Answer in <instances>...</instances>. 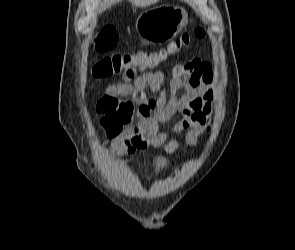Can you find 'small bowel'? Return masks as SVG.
I'll return each instance as SVG.
<instances>
[{"label": "small bowel", "instance_id": "c3829d8e", "mask_svg": "<svg viewBox=\"0 0 295 250\" xmlns=\"http://www.w3.org/2000/svg\"><path fill=\"white\" fill-rule=\"evenodd\" d=\"M153 54V53H150ZM137 56L147 55L141 52ZM169 55L153 62L129 69L122 82L108 86L100 97L130 96L138 105L136 123L111 143L116 155H132L147 147H163L169 153L180 149L179 143L169 132L160 129V124L181 114L182 118L172 127L171 132H185V142L197 146L200 137L211 128L214 92V73L209 63L198 58L173 67L170 81V94L167 97L162 89L164 73L154 71L159 63ZM142 69V74H137ZM183 90L181 95L178 94ZM150 91L152 98L146 92Z\"/></svg>", "mask_w": 295, "mask_h": 250}]
</instances>
